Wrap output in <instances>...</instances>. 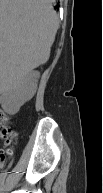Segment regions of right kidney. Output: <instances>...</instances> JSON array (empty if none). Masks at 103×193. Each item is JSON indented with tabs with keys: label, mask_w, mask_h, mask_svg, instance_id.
<instances>
[{
	"label": "right kidney",
	"mask_w": 103,
	"mask_h": 193,
	"mask_svg": "<svg viewBox=\"0 0 103 193\" xmlns=\"http://www.w3.org/2000/svg\"><path fill=\"white\" fill-rule=\"evenodd\" d=\"M38 79V71H29L6 80L1 87L0 97L4 112L9 115L16 114L20 107L34 96Z\"/></svg>",
	"instance_id": "obj_1"
}]
</instances>
